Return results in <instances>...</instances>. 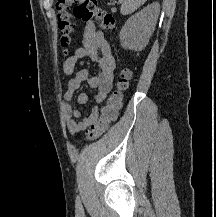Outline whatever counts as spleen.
I'll use <instances>...</instances> for the list:
<instances>
[{
  "instance_id": "3e777b00",
  "label": "spleen",
  "mask_w": 216,
  "mask_h": 217,
  "mask_svg": "<svg viewBox=\"0 0 216 217\" xmlns=\"http://www.w3.org/2000/svg\"><path fill=\"white\" fill-rule=\"evenodd\" d=\"M147 0H122L120 12L122 15H129L136 11Z\"/></svg>"
}]
</instances>
